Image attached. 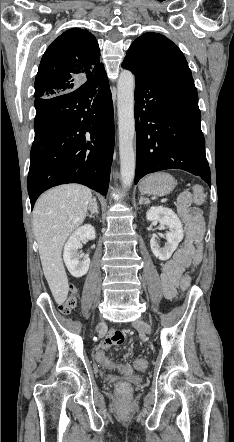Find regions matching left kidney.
<instances>
[{"label": "left kidney", "instance_id": "obj_1", "mask_svg": "<svg viewBox=\"0 0 234 442\" xmlns=\"http://www.w3.org/2000/svg\"><path fill=\"white\" fill-rule=\"evenodd\" d=\"M146 219L148 221H158L169 229V232H166L167 242L164 247H160L156 237H152L150 240L154 256L161 261L168 260L183 239V228L180 219L173 210L163 206L150 207L146 213Z\"/></svg>", "mask_w": 234, "mask_h": 442}]
</instances>
